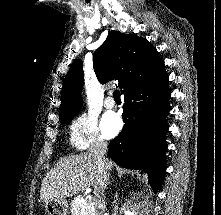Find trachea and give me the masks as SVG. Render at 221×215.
<instances>
[{
  "label": "trachea",
  "mask_w": 221,
  "mask_h": 215,
  "mask_svg": "<svg viewBox=\"0 0 221 215\" xmlns=\"http://www.w3.org/2000/svg\"><path fill=\"white\" fill-rule=\"evenodd\" d=\"M113 97L115 100H120V91L119 90H115L113 92Z\"/></svg>",
  "instance_id": "obj_1"
}]
</instances>
